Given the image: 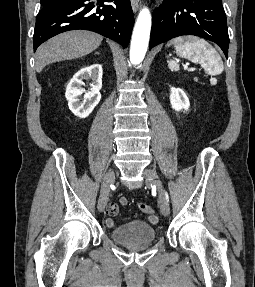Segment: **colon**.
<instances>
[{"mask_svg": "<svg viewBox=\"0 0 255 287\" xmlns=\"http://www.w3.org/2000/svg\"><path fill=\"white\" fill-rule=\"evenodd\" d=\"M139 208H140L141 211H143L147 215H155L154 209L150 205H148L146 203H140L139 204Z\"/></svg>", "mask_w": 255, "mask_h": 287, "instance_id": "obj_1", "label": "colon"}]
</instances>
